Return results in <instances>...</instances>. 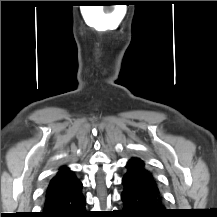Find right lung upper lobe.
Segmentation results:
<instances>
[{
    "label": "right lung upper lobe",
    "instance_id": "1",
    "mask_svg": "<svg viewBox=\"0 0 217 217\" xmlns=\"http://www.w3.org/2000/svg\"><path fill=\"white\" fill-rule=\"evenodd\" d=\"M81 182L66 166L59 169L57 175L50 181L45 198L50 199L68 194L81 187Z\"/></svg>",
    "mask_w": 217,
    "mask_h": 217
}]
</instances>
